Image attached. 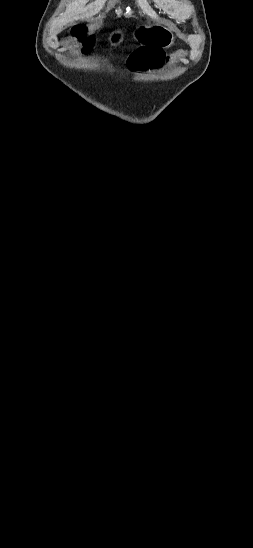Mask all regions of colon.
<instances>
[{"mask_svg":"<svg viewBox=\"0 0 253 548\" xmlns=\"http://www.w3.org/2000/svg\"><path fill=\"white\" fill-rule=\"evenodd\" d=\"M84 27L79 25L74 28V34L77 36H83ZM89 42V41H88ZM162 58V51L160 49L136 50L129 56V63L133 68H142L146 65L148 71H157L159 69V62Z\"/></svg>","mask_w":253,"mask_h":548,"instance_id":"1","label":"colon"}]
</instances>
